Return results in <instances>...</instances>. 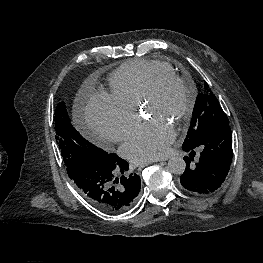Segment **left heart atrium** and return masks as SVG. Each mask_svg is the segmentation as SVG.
<instances>
[{
	"mask_svg": "<svg viewBox=\"0 0 263 263\" xmlns=\"http://www.w3.org/2000/svg\"><path fill=\"white\" fill-rule=\"evenodd\" d=\"M174 137L175 132L169 123L152 118L132 132L121 147V153L135 164L157 160L168 153Z\"/></svg>",
	"mask_w": 263,
	"mask_h": 263,
	"instance_id": "left-heart-atrium-1",
	"label": "left heart atrium"
}]
</instances>
